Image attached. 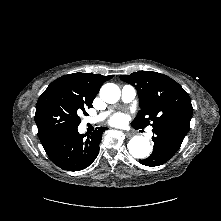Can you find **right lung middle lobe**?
<instances>
[{"label": "right lung middle lobe", "mask_w": 221, "mask_h": 221, "mask_svg": "<svg viewBox=\"0 0 221 221\" xmlns=\"http://www.w3.org/2000/svg\"><path fill=\"white\" fill-rule=\"evenodd\" d=\"M90 107L92 106L89 103L65 89H46L36 104L35 122L39 139L78 128L81 121L79 114L83 112L86 115L85 109Z\"/></svg>", "instance_id": "obj_1"}]
</instances>
